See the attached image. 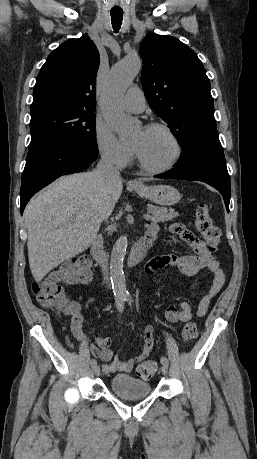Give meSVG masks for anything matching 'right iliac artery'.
<instances>
[{
    "instance_id": "obj_1",
    "label": "right iliac artery",
    "mask_w": 257,
    "mask_h": 459,
    "mask_svg": "<svg viewBox=\"0 0 257 459\" xmlns=\"http://www.w3.org/2000/svg\"><path fill=\"white\" fill-rule=\"evenodd\" d=\"M116 305H117V308L119 309V311H122L123 310V305H124V297L123 296H117L116 297ZM90 365L91 367H94L95 365H97V361L95 359H91L90 360Z\"/></svg>"
}]
</instances>
